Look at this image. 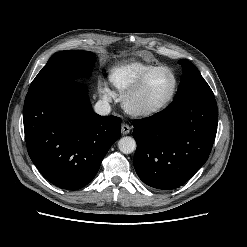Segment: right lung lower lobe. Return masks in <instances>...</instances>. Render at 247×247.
Returning a JSON list of instances; mask_svg holds the SVG:
<instances>
[{"instance_id": "right-lung-lower-lobe-1", "label": "right lung lower lobe", "mask_w": 247, "mask_h": 247, "mask_svg": "<svg viewBox=\"0 0 247 247\" xmlns=\"http://www.w3.org/2000/svg\"><path fill=\"white\" fill-rule=\"evenodd\" d=\"M23 119L32 162L48 181L66 190L92 181L121 134V119L94 113L87 86L78 81L28 90Z\"/></svg>"}]
</instances>
